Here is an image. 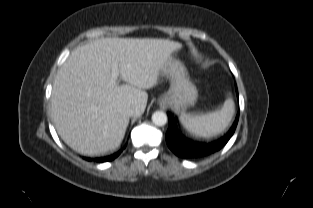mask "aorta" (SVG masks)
I'll return each instance as SVG.
<instances>
[{
  "label": "aorta",
  "mask_w": 313,
  "mask_h": 208,
  "mask_svg": "<svg viewBox=\"0 0 313 208\" xmlns=\"http://www.w3.org/2000/svg\"><path fill=\"white\" fill-rule=\"evenodd\" d=\"M152 121L157 126H163L167 123V115L162 111H156L152 115Z\"/></svg>",
  "instance_id": "762f6f07"
}]
</instances>
